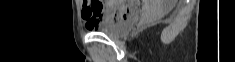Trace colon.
Listing matches in <instances>:
<instances>
[{
  "label": "colon",
  "instance_id": "5ec220e1",
  "mask_svg": "<svg viewBox=\"0 0 235 62\" xmlns=\"http://www.w3.org/2000/svg\"><path fill=\"white\" fill-rule=\"evenodd\" d=\"M94 6H95V8H99L102 6V4L96 3V4H94ZM136 8H137V6H135L134 8L131 9L124 2H114L113 22L118 21V20L126 17L130 12H132Z\"/></svg>",
  "mask_w": 235,
  "mask_h": 62
}]
</instances>
